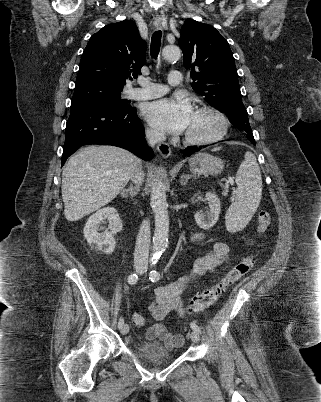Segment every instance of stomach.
Segmentation results:
<instances>
[{"instance_id":"stomach-1","label":"stomach","mask_w":321,"mask_h":402,"mask_svg":"<svg viewBox=\"0 0 321 402\" xmlns=\"http://www.w3.org/2000/svg\"><path fill=\"white\" fill-rule=\"evenodd\" d=\"M190 171L199 175H216L224 167L221 159L207 153H197L189 159Z\"/></svg>"}]
</instances>
